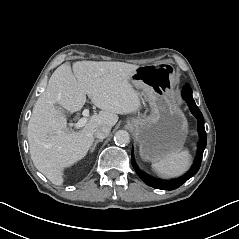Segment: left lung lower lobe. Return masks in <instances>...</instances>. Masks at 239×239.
Wrapping results in <instances>:
<instances>
[{
  "label": "left lung lower lobe",
  "mask_w": 239,
  "mask_h": 239,
  "mask_svg": "<svg viewBox=\"0 0 239 239\" xmlns=\"http://www.w3.org/2000/svg\"><path fill=\"white\" fill-rule=\"evenodd\" d=\"M182 95L183 98L186 100L192 114L197 118L198 121V133H199V138H200V142H199V146H198V157L196 160V163L194 165V167L181 179H178L176 181H160L157 179H153L150 177H147L146 175H144L143 173H141L133 160V157L131 158V163L133 168L135 169L136 173L139 175V177L149 186L157 188V189H164V190H174L178 187H180L184 182H186L189 178H191L193 175H195L201 165V161H202V156H203V152L204 149L206 147V143H207V135L205 132V128H204V118L203 115L201 113V111L199 110V108L197 107L193 97H192V90L191 87L189 86V84H186L183 88L182 91Z\"/></svg>",
  "instance_id": "left-lung-lower-lobe-1"
}]
</instances>
